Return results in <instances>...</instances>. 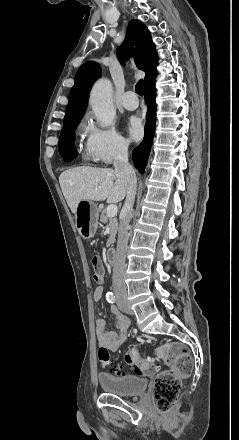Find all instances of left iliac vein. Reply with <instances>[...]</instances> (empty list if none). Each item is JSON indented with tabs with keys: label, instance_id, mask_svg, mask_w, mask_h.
<instances>
[{
	"label": "left iliac vein",
	"instance_id": "4c4485c4",
	"mask_svg": "<svg viewBox=\"0 0 239 440\" xmlns=\"http://www.w3.org/2000/svg\"><path fill=\"white\" fill-rule=\"evenodd\" d=\"M118 306H119V308H120L123 312H126V311L123 309L122 303H121L120 301H118Z\"/></svg>",
	"mask_w": 239,
	"mask_h": 440
}]
</instances>
